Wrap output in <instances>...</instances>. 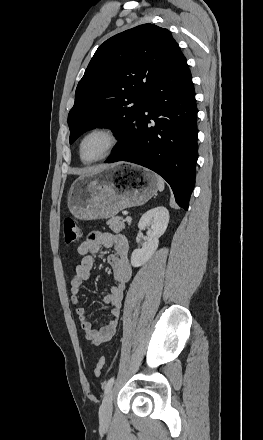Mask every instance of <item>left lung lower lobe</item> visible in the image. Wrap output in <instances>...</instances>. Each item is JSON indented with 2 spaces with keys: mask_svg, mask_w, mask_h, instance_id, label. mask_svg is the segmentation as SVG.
<instances>
[{
  "mask_svg": "<svg viewBox=\"0 0 263 440\" xmlns=\"http://www.w3.org/2000/svg\"><path fill=\"white\" fill-rule=\"evenodd\" d=\"M197 134L194 86L176 43L148 91L129 143L105 162L128 161L153 170L169 183L177 204L187 210L195 185Z\"/></svg>",
  "mask_w": 263,
  "mask_h": 440,
  "instance_id": "1",
  "label": "left lung lower lobe"
}]
</instances>
